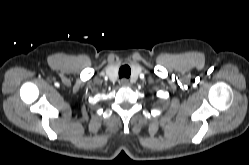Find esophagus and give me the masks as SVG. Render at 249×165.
Here are the masks:
<instances>
[{
  "mask_svg": "<svg viewBox=\"0 0 249 165\" xmlns=\"http://www.w3.org/2000/svg\"><path fill=\"white\" fill-rule=\"evenodd\" d=\"M120 83H121V85H122L123 87H128V86H130V82H129V80H128L127 78H122L121 81H120Z\"/></svg>",
  "mask_w": 249,
  "mask_h": 165,
  "instance_id": "34e87169",
  "label": "esophagus"
}]
</instances>
